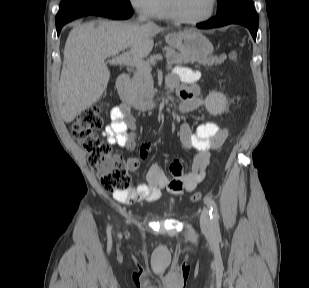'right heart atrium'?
<instances>
[{
  "label": "right heart atrium",
  "mask_w": 309,
  "mask_h": 288,
  "mask_svg": "<svg viewBox=\"0 0 309 288\" xmlns=\"http://www.w3.org/2000/svg\"><path fill=\"white\" fill-rule=\"evenodd\" d=\"M129 4L140 14L146 17L158 16L164 0H128Z\"/></svg>",
  "instance_id": "obj_1"
}]
</instances>
